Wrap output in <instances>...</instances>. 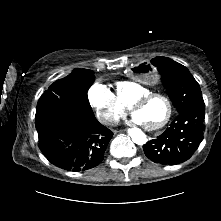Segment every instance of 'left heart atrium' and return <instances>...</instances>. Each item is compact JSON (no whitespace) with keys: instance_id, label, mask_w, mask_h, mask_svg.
Wrapping results in <instances>:
<instances>
[{"instance_id":"obj_1","label":"left heart atrium","mask_w":221,"mask_h":221,"mask_svg":"<svg viewBox=\"0 0 221 221\" xmlns=\"http://www.w3.org/2000/svg\"><path fill=\"white\" fill-rule=\"evenodd\" d=\"M133 120H134V122H136V123L143 124L142 121H141L137 116H135V115H134Z\"/></svg>"}]
</instances>
